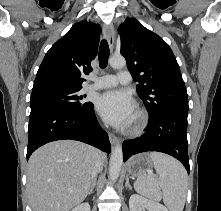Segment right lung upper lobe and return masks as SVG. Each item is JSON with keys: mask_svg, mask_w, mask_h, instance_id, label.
I'll return each mask as SVG.
<instances>
[{"mask_svg": "<svg viewBox=\"0 0 221 211\" xmlns=\"http://www.w3.org/2000/svg\"><path fill=\"white\" fill-rule=\"evenodd\" d=\"M101 27L86 20L74 24L46 53L35 78L33 91L47 88H81L100 40Z\"/></svg>", "mask_w": 221, "mask_h": 211, "instance_id": "cb5924a9", "label": "right lung upper lobe"}]
</instances>
